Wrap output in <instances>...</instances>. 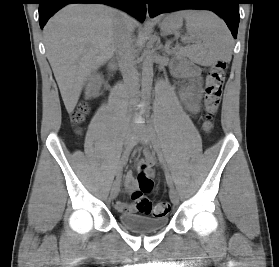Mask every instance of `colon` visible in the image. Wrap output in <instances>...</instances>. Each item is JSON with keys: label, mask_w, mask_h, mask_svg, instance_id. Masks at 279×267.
I'll use <instances>...</instances> for the list:
<instances>
[{"label": "colon", "mask_w": 279, "mask_h": 267, "mask_svg": "<svg viewBox=\"0 0 279 267\" xmlns=\"http://www.w3.org/2000/svg\"><path fill=\"white\" fill-rule=\"evenodd\" d=\"M227 63L219 61L215 63L208 71L206 77L205 91H204V111L205 122L204 129L207 131L211 128V121L217 113L222 92L223 85L226 78ZM90 111L89 104L83 102L79 105L72 119L76 124L82 123ZM139 190L133 193V201L135 209L142 214H152L155 217L165 216L171 209V205L167 201L153 204L151 200L145 195L153 188V173L151 165L143 162L139 168L138 175Z\"/></svg>", "instance_id": "5ec220e1"}]
</instances>
